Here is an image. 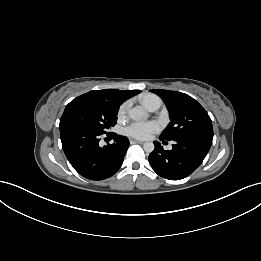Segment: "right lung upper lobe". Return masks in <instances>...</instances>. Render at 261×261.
Returning a JSON list of instances; mask_svg holds the SVG:
<instances>
[{"label": "right lung upper lobe", "instance_id": "cb5924a9", "mask_svg": "<svg viewBox=\"0 0 261 261\" xmlns=\"http://www.w3.org/2000/svg\"><path fill=\"white\" fill-rule=\"evenodd\" d=\"M92 92L100 93L108 97L117 105H121L127 98L137 94L140 90H118V89H104L93 90Z\"/></svg>", "mask_w": 261, "mask_h": 261}]
</instances>
